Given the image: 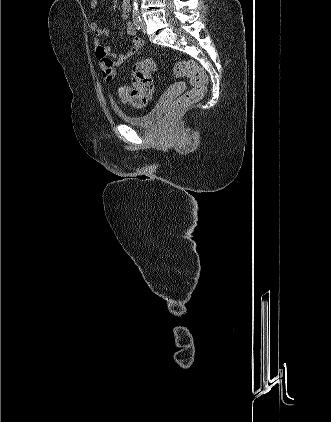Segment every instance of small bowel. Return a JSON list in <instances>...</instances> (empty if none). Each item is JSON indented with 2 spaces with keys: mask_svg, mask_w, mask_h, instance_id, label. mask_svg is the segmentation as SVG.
Segmentation results:
<instances>
[{
  "mask_svg": "<svg viewBox=\"0 0 331 422\" xmlns=\"http://www.w3.org/2000/svg\"><path fill=\"white\" fill-rule=\"evenodd\" d=\"M97 7L98 0H90V8L95 10ZM121 10V18L123 20H127L130 13V3H126L122 0ZM89 27L95 36L93 39V44L95 47V54L99 62L101 74L104 80L112 81L115 77L116 67L120 66L125 61L136 55L142 49L144 41L139 37H135L132 40V47L130 50L122 54H114L112 53L111 47L109 45H105L101 42L102 36H108L110 34L109 28L107 26L100 25L97 22H91ZM125 30L128 35L133 36L135 35L136 27L134 23L127 22Z\"/></svg>",
  "mask_w": 331,
  "mask_h": 422,
  "instance_id": "1",
  "label": "small bowel"
}]
</instances>
